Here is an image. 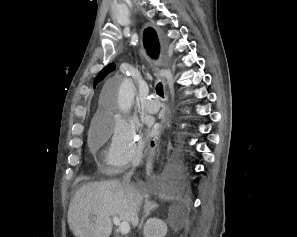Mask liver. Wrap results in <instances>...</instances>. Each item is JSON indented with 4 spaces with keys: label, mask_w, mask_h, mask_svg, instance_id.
Instances as JSON below:
<instances>
[{
    "label": "liver",
    "mask_w": 297,
    "mask_h": 237,
    "mask_svg": "<svg viewBox=\"0 0 297 237\" xmlns=\"http://www.w3.org/2000/svg\"><path fill=\"white\" fill-rule=\"evenodd\" d=\"M140 202L143 193L134 189ZM138 225V211L122 183L117 180L87 183L73 196L68 210V224L75 237H109L111 217Z\"/></svg>",
    "instance_id": "6515ba94"
}]
</instances>
